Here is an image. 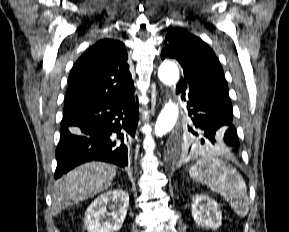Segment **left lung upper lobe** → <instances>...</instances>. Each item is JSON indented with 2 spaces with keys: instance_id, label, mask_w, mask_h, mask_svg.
<instances>
[{
  "instance_id": "obj_1",
  "label": "left lung upper lobe",
  "mask_w": 289,
  "mask_h": 232,
  "mask_svg": "<svg viewBox=\"0 0 289 232\" xmlns=\"http://www.w3.org/2000/svg\"><path fill=\"white\" fill-rule=\"evenodd\" d=\"M166 57L176 59L183 67L184 78L180 81L205 86L228 96L223 69L213 50L200 38L178 29L170 31L161 52V58ZM179 144L184 150L205 151L192 133H180Z\"/></svg>"
}]
</instances>
